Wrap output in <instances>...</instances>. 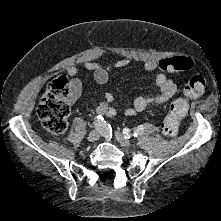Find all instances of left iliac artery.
I'll return each instance as SVG.
<instances>
[{
  "instance_id": "left-iliac-artery-1",
  "label": "left iliac artery",
  "mask_w": 221,
  "mask_h": 221,
  "mask_svg": "<svg viewBox=\"0 0 221 221\" xmlns=\"http://www.w3.org/2000/svg\"><path fill=\"white\" fill-rule=\"evenodd\" d=\"M129 129L128 128H125L123 130V133L125 134V138H127L129 136ZM144 132V126L143 125H140L139 127H137L134 131V136L137 137L138 135H141L142 133ZM130 138V136L128 137Z\"/></svg>"
}]
</instances>
